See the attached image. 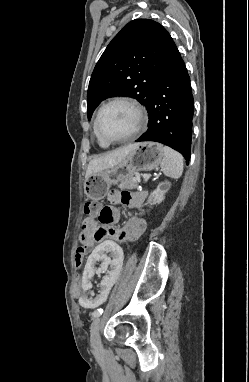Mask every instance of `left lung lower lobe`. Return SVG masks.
I'll use <instances>...</instances> for the list:
<instances>
[{
  "instance_id": "0a47b994",
  "label": "left lung lower lobe",
  "mask_w": 249,
  "mask_h": 382,
  "mask_svg": "<svg viewBox=\"0 0 249 382\" xmlns=\"http://www.w3.org/2000/svg\"><path fill=\"white\" fill-rule=\"evenodd\" d=\"M147 111L148 130L136 141L165 144L180 152L188 164L194 102L190 77L178 49L161 76Z\"/></svg>"
}]
</instances>
